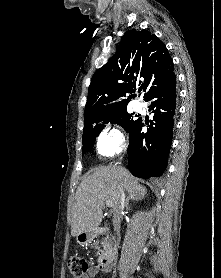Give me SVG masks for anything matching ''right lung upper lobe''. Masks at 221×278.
Segmentation results:
<instances>
[{
  "label": "right lung upper lobe",
  "instance_id": "cb5924a9",
  "mask_svg": "<svg viewBox=\"0 0 221 278\" xmlns=\"http://www.w3.org/2000/svg\"><path fill=\"white\" fill-rule=\"evenodd\" d=\"M174 65L165 44L147 30L127 31L115 55L97 70L88 88L84 120L127 108L136 85L144 97L150 89L173 73Z\"/></svg>",
  "mask_w": 221,
  "mask_h": 278
}]
</instances>
